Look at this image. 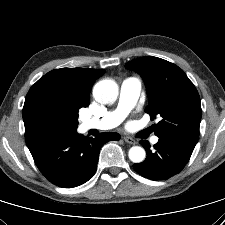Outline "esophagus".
<instances>
[{
  "instance_id": "34e87169",
  "label": "esophagus",
  "mask_w": 225,
  "mask_h": 225,
  "mask_svg": "<svg viewBox=\"0 0 225 225\" xmlns=\"http://www.w3.org/2000/svg\"><path fill=\"white\" fill-rule=\"evenodd\" d=\"M123 139L128 144H132V145L136 144V140L130 136H124Z\"/></svg>"
}]
</instances>
